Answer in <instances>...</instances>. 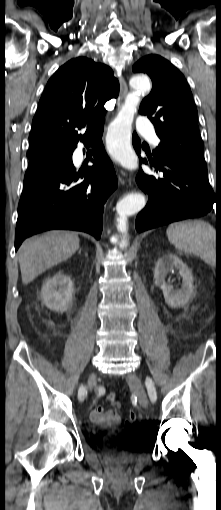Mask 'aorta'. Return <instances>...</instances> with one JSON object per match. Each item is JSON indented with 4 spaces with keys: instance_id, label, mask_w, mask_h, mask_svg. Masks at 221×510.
Listing matches in <instances>:
<instances>
[{
    "instance_id": "762f6f07",
    "label": "aorta",
    "mask_w": 221,
    "mask_h": 510,
    "mask_svg": "<svg viewBox=\"0 0 221 510\" xmlns=\"http://www.w3.org/2000/svg\"><path fill=\"white\" fill-rule=\"evenodd\" d=\"M133 92L126 96L124 105L120 109L116 119L111 123L107 134V147L112 157L118 161L122 167L128 170L138 168V158L131 147V129L134 114L140 102V95L148 92L151 88L148 77L135 75L130 80ZM146 204L145 197L141 193H130L117 202V229L123 234L120 243L122 249L126 248L128 226V217L141 211Z\"/></svg>"
}]
</instances>
